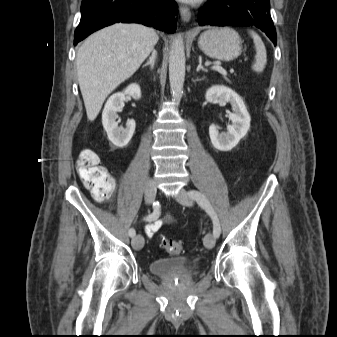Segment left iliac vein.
<instances>
[{
    "label": "left iliac vein",
    "mask_w": 337,
    "mask_h": 337,
    "mask_svg": "<svg viewBox=\"0 0 337 337\" xmlns=\"http://www.w3.org/2000/svg\"><path fill=\"white\" fill-rule=\"evenodd\" d=\"M176 200L186 206H192L193 204V200L192 198L189 196L188 192L185 189H180ZM216 243V239L215 236L211 233H208L205 238H204V245L207 249H212L214 248Z\"/></svg>",
    "instance_id": "obj_1"
}]
</instances>
